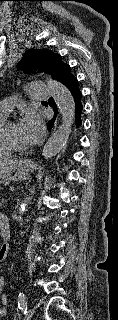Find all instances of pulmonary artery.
<instances>
[{"mask_svg":"<svg viewBox=\"0 0 118 320\" xmlns=\"http://www.w3.org/2000/svg\"><path fill=\"white\" fill-rule=\"evenodd\" d=\"M28 93L32 99L36 101H42L49 98V89L43 83H32L28 86ZM13 99H6L4 101H0V112L5 116L11 111L13 106Z\"/></svg>","mask_w":118,"mask_h":320,"instance_id":"obj_1","label":"pulmonary artery"}]
</instances>
